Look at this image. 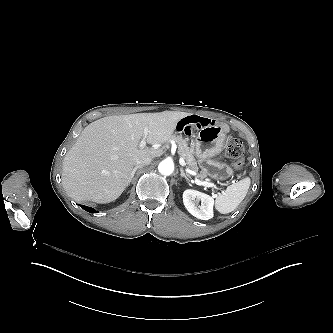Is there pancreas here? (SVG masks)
<instances>
[{"label":"pancreas","mask_w":333,"mask_h":333,"mask_svg":"<svg viewBox=\"0 0 333 333\" xmlns=\"http://www.w3.org/2000/svg\"><path fill=\"white\" fill-rule=\"evenodd\" d=\"M176 144L178 145V154L181 159L184 161L185 166L193 171H198L197 164L194 160L193 151L190 146H188L187 142L180 136L174 138ZM202 177V174L198 175Z\"/></svg>","instance_id":"obj_1"}]
</instances>
